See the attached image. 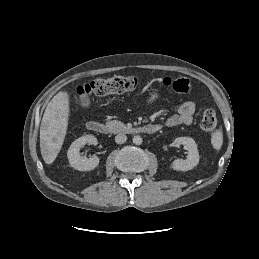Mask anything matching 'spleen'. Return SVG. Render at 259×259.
<instances>
[{
	"mask_svg": "<svg viewBox=\"0 0 259 259\" xmlns=\"http://www.w3.org/2000/svg\"><path fill=\"white\" fill-rule=\"evenodd\" d=\"M211 143L214 149L220 150L223 143V134L221 130H216L211 136Z\"/></svg>",
	"mask_w": 259,
	"mask_h": 259,
	"instance_id": "1",
	"label": "spleen"
}]
</instances>
